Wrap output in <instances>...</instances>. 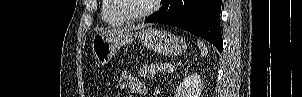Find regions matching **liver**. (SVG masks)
Instances as JSON below:
<instances>
[{"instance_id": "1", "label": "liver", "mask_w": 302, "mask_h": 97, "mask_svg": "<svg viewBox=\"0 0 302 97\" xmlns=\"http://www.w3.org/2000/svg\"><path fill=\"white\" fill-rule=\"evenodd\" d=\"M143 28H145V25H128L126 27H119L117 29H112V30L108 31L107 33H103V34L116 33L119 31H126V30H139V29H143Z\"/></svg>"}]
</instances>
